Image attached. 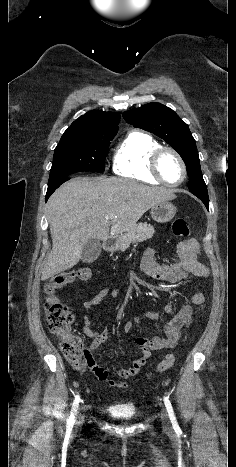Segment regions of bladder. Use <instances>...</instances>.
Wrapping results in <instances>:
<instances>
[{
  "label": "bladder",
  "mask_w": 236,
  "mask_h": 467,
  "mask_svg": "<svg viewBox=\"0 0 236 467\" xmlns=\"http://www.w3.org/2000/svg\"><path fill=\"white\" fill-rule=\"evenodd\" d=\"M111 412L114 413L117 417L124 419H130L135 416V408L131 406L114 407L111 409Z\"/></svg>",
  "instance_id": "bladder-1"
}]
</instances>
